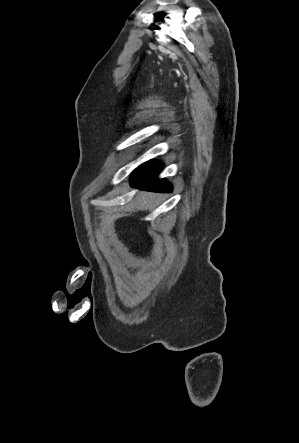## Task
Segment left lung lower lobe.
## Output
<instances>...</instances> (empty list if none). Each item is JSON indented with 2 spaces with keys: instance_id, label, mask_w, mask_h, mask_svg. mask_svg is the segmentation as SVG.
<instances>
[{
  "instance_id": "obj_1",
  "label": "left lung lower lobe",
  "mask_w": 299,
  "mask_h": 443,
  "mask_svg": "<svg viewBox=\"0 0 299 443\" xmlns=\"http://www.w3.org/2000/svg\"><path fill=\"white\" fill-rule=\"evenodd\" d=\"M161 169L162 165L158 162L148 161L142 164L133 171L131 186L154 192H171L170 183L156 178Z\"/></svg>"
}]
</instances>
